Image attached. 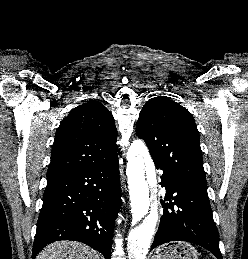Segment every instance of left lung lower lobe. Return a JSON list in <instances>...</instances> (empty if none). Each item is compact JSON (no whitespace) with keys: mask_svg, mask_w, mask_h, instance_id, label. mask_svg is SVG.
I'll return each instance as SVG.
<instances>
[{"mask_svg":"<svg viewBox=\"0 0 248 259\" xmlns=\"http://www.w3.org/2000/svg\"><path fill=\"white\" fill-rule=\"evenodd\" d=\"M163 170L161 185L166 188L163 215L151 250L170 241L200 245L222 259L219 235L215 226L207 191L188 187L170 172Z\"/></svg>","mask_w":248,"mask_h":259,"instance_id":"1","label":"left lung lower lobe"}]
</instances>
